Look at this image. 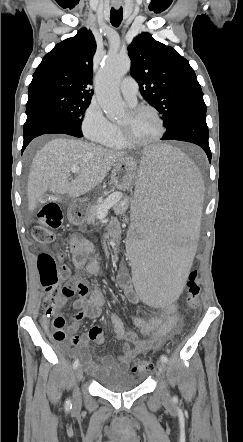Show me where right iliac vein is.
<instances>
[{
	"instance_id": "63e3f726",
	"label": "right iliac vein",
	"mask_w": 243,
	"mask_h": 442,
	"mask_svg": "<svg viewBox=\"0 0 243 442\" xmlns=\"http://www.w3.org/2000/svg\"><path fill=\"white\" fill-rule=\"evenodd\" d=\"M75 377H76V384L74 386V392H73V404L75 407L79 406L81 403V397H80V392L77 386V382L81 381L82 377H83V369L82 366H78L76 369V373H75Z\"/></svg>"
}]
</instances>
